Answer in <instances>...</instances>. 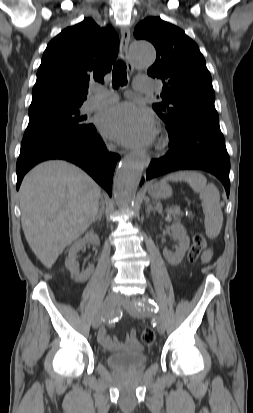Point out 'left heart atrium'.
Listing matches in <instances>:
<instances>
[{
  "label": "left heart atrium",
  "mask_w": 253,
  "mask_h": 413,
  "mask_svg": "<svg viewBox=\"0 0 253 413\" xmlns=\"http://www.w3.org/2000/svg\"><path fill=\"white\" fill-rule=\"evenodd\" d=\"M98 127L105 136L128 146L150 142L155 132L152 114L129 103L119 104L101 114Z\"/></svg>",
  "instance_id": "left-heart-atrium-1"
}]
</instances>
